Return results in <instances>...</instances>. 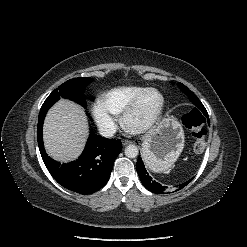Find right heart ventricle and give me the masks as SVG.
<instances>
[{
  "mask_svg": "<svg viewBox=\"0 0 247 247\" xmlns=\"http://www.w3.org/2000/svg\"><path fill=\"white\" fill-rule=\"evenodd\" d=\"M144 89L146 87L142 86L117 87L104 93L101 96L100 102L113 115H120L133 98Z\"/></svg>",
  "mask_w": 247,
  "mask_h": 247,
  "instance_id": "right-heart-ventricle-1",
  "label": "right heart ventricle"
}]
</instances>
